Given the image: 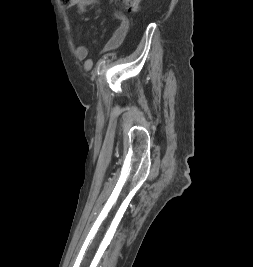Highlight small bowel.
I'll return each instance as SVG.
<instances>
[{
	"mask_svg": "<svg viewBox=\"0 0 253 267\" xmlns=\"http://www.w3.org/2000/svg\"><path fill=\"white\" fill-rule=\"evenodd\" d=\"M116 17L120 20V25L115 30L111 38L105 43V45L101 49V53H106L116 50L118 47L121 46V44L124 42L127 36L129 30L128 19L120 13H117ZM75 52L78 59L86 60L87 63L91 62V60L88 59L89 50L86 45L78 44L75 48Z\"/></svg>",
	"mask_w": 253,
	"mask_h": 267,
	"instance_id": "obj_1",
	"label": "small bowel"
}]
</instances>
